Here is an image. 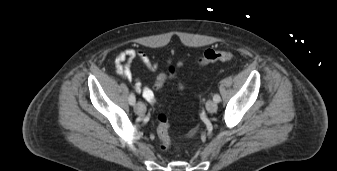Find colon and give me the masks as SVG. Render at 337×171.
Here are the masks:
<instances>
[{
	"mask_svg": "<svg viewBox=\"0 0 337 171\" xmlns=\"http://www.w3.org/2000/svg\"><path fill=\"white\" fill-rule=\"evenodd\" d=\"M233 59L232 52L228 50H215L208 49L203 55L199 58L198 64L200 66H205L214 62H226ZM176 76V68L172 65L168 66V69L165 73H161L154 85V88L157 91H160L163 87L164 82L167 79L173 78ZM157 134L160 141V147L162 150L167 151L171 147V137H170V128L171 121L167 118L165 114H159L157 116Z\"/></svg>",
	"mask_w": 337,
	"mask_h": 171,
	"instance_id": "obj_1",
	"label": "colon"
}]
</instances>
